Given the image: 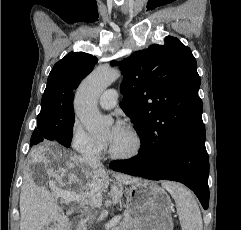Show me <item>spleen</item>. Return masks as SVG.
Returning a JSON list of instances; mask_svg holds the SVG:
<instances>
[{
  "label": "spleen",
  "instance_id": "spleen-1",
  "mask_svg": "<svg viewBox=\"0 0 241 230\" xmlns=\"http://www.w3.org/2000/svg\"><path fill=\"white\" fill-rule=\"evenodd\" d=\"M162 186L175 200L182 230H203L201 212L193 193L178 183L163 182Z\"/></svg>",
  "mask_w": 241,
  "mask_h": 230
}]
</instances>
